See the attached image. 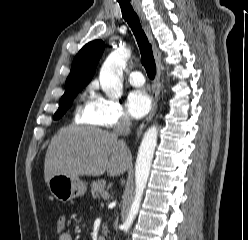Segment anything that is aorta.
Listing matches in <instances>:
<instances>
[{"label": "aorta", "instance_id": "aorta-1", "mask_svg": "<svg viewBox=\"0 0 248 240\" xmlns=\"http://www.w3.org/2000/svg\"><path fill=\"white\" fill-rule=\"evenodd\" d=\"M130 55V48L120 47L107 57L101 67L99 75L100 85L111 99H118L122 95L123 84L121 78ZM157 136V127L152 126L145 132L140 144L135 165V196L122 226L125 232L129 230L138 214L144 189L149 178L153 155L157 145Z\"/></svg>", "mask_w": 248, "mask_h": 240}]
</instances>
